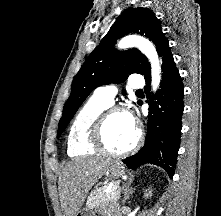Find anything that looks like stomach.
I'll return each mask as SVG.
<instances>
[{
  "instance_id": "1",
  "label": "stomach",
  "mask_w": 221,
  "mask_h": 216,
  "mask_svg": "<svg viewBox=\"0 0 221 216\" xmlns=\"http://www.w3.org/2000/svg\"><path fill=\"white\" fill-rule=\"evenodd\" d=\"M124 173H125V169L120 162L111 164L106 171L107 176L113 179L119 178ZM94 214L95 212L93 210L87 209L85 211H81L77 213L76 216H94Z\"/></svg>"
}]
</instances>
